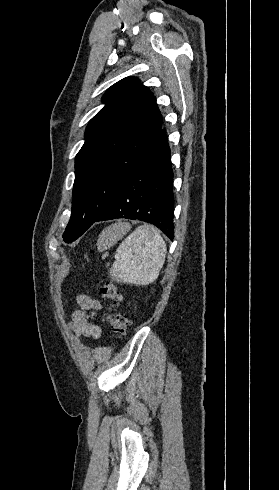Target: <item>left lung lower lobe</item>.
Returning <instances> with one entry per match:
<instances>
[{"label":"left lung lower lobe","mask_w":279,"mask_h":490,"mask_svg":"<svg viewBox=\"0 0 279 490\" xmlns=\"http://www.w3.org/2000/svg\"><path fill=\"white\" fill-rule=\"evenodd\" d=\"M173 171L165 131L146 147L118 189L109 209L97 221L125 218L151 223L174 237Z\"/></svg>","instance_id":"1"}]
</instances>
